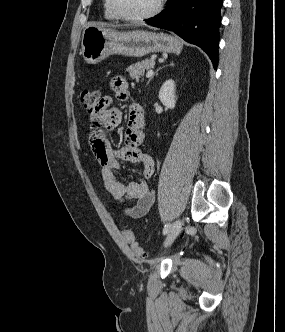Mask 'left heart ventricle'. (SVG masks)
I'll return each instance as SVG.
<instances>
[{"label":"left heart ventricle","mask_w":285,"mask_h":332,"mask_svg":"<svg viewBox=\"0 0 285 332\" xmlns=\"http://www.w3.org/2000/svg\"><path fill=\"white\" fill-rule=\"evenodd\" d=\"M118 11L127 16H139L152 11L158 0H113Z\"/></svg>","instance_id":"b2bd125f"}]
</instances>
